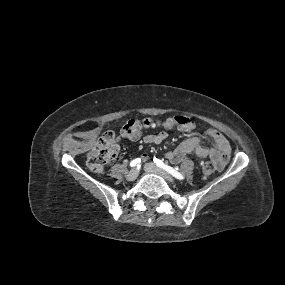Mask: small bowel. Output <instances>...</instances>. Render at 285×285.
Here are the masks:
<instances>
[{"instance_id": "small-bowel-1", "label": "small bowel", "mask_w": 285, "mask_h": 285, "mask_svg": "<svg viewBox=\"0 0 285 285\" xmlns=\"http://www.w3.org/2000/svg\"><path fill=\"white\" fill-rule=\"evenodd\" d=\"M162 129L157 133L146 134L143 142L146 144H160L168 138V132L174 128L170 125H158ZM206 136L213 140V146L205 147L201 144V137L193 135L183 140L179 146L167 153V159L173 163H180L187 155H195L199 159L210 158L218 170L226 165L230 155L228 140L217 130L208 129Z\"/></svg>"}]
</instances>
